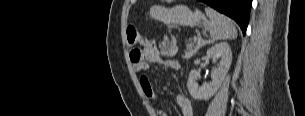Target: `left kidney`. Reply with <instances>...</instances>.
<instances>
[{
  "instance_id": "obj_1",
  "label": "left kidney",
  "mask_w": 305,
  "mask_h": 116,
  "mask_svg": "<svg viewBox=\"0 0 305 116\" xmlns=\"http://www.w3.org/2000/svg\"><path fill=\"white\" fill-rule=\"evenodd\" d=\"M207 57L213 63L218 59L220 62L211 73L212 81L203 83L202 86L197 83L200 73L195 69L190 72L187 87L190 95L196 100H208L218 91L232 63V51L227 42H221L211 47L207 51Z\"/></svg>"
}]
</instances>
